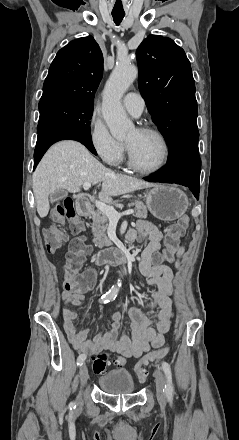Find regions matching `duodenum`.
<instances>
[{
  "label": "duodenum",
  "instance_id": "1",
  "mask_svg": "<svg viewBox=\"0 0 239 440\" xmlns=\"http://www.w3.org/2000/svg\"><path fill=\"white\" fill-rule=\"evenodd\" d=\"M76 208L81 216H88L92 212L90 201L86 197L78 198ZM128 251L120 248H110L98 252L95 255L94 261L97 265L105 264H119L128 259Z\"/></svg>",
  "mask_w": 239,
  "mask_h": 440
}]
</instances>
